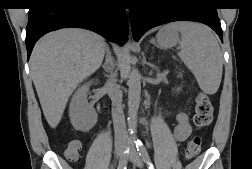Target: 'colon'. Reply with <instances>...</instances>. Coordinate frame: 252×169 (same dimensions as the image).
Returning a JSON list of instances; mask_svg holds the SVG:
<instances>
[{"instance_id":"1","label":"colon","mask_w":252,"mask_h":169,"mask_svg":"<svg viewBox=\"0 0 252 169\" xmlns=\"http://www.w3.org/2000/svg\"><path fill=\"white\" fill-rule=\"evenodd\" d=\"M213 105L210 98L204 94L199 93L196 98L195 113L193 117L194 126L200 130L207 127L212 121ZM201 150V138L199 136H193L186 147L185 156L187 160L194 159ZM66 158L71 161L78 159L77 146L73 145L66 150Z\"/></svg>"}]
</instances>
